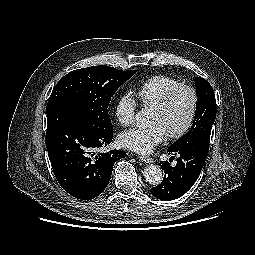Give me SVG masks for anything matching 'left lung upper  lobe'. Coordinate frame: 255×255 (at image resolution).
Wrapping results in <instances>:
<instances>
[{
    "label": "left lung upper lobe",
    "instance_id": "left-lung-upper-lobe-1",
    "mask_svg": "<svg viewBox=\"0 0 255 255\" xmlns=\"http://www.w3.org/2000/svg\"><path fill=\"white\" fill-rule=\"evenodd\" d=\"M195 83L198 99L193 125L189 132L168 149H180L193 144L209 146L211 129L216 118V99L208 81L195 77Z\"/></svg>",
    "mask_w": 255,
    "mask_h": 255
}]
</instances>
